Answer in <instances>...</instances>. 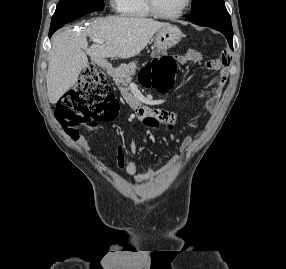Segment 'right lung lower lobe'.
Here are the masks:
<instances>
[{"mask_svg":"<svg viewBox=\"0 0 286 269\" xmlns=\"http://www.w3.org/2000/svg\"><path fill=\"white\" fill-rule=\"evenodd\" d=\"M103 8H104V7H103ZM55 31H56V29H51V30H49V37H51L52 34H53Z\"/></svg>","mask_w":286,"mask_h":269,"instance_id":"obj_1","label":"right lung lower lobe"}]
</instances>
